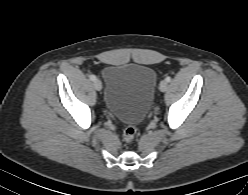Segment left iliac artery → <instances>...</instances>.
<instances>
[{"label":"left iliac artery","mask_w":248,"mask_h":195,"mask_svg":"<svg viewBox=\"0 0 248 195\" xmlns=\"http://www.w3.org/2000/svg\"><path fill=\"white\" fill-rule=\"evenodd\" d=\"M167 82H170L171 81V78L170 77H166L165 79Z\"/></svg>","instance_id":"44dca946"}]
</instances>
